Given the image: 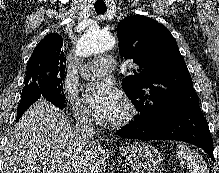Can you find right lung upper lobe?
Wrapping results in <instances>:
<instances>
[{
	"label": "right lung upper lobe",
	"mask_w": 219,
	"mask_h": 173,
	"mask_svg": "<svg viewBox=\"0 0 219 173\" xmlns=\"http://www.w3.org/2000/svg\"><path fill=\"white\" fill-rule=\"evenodd\" d=\"M62 36L59 34H49L42 39L35 47L29 63H38L41 65H58L64 68L66 57L64 56Z\"/></svg>",
	"instance_id": "cb5924a9"
}]
</instances>
